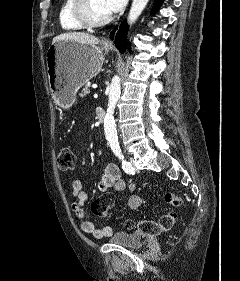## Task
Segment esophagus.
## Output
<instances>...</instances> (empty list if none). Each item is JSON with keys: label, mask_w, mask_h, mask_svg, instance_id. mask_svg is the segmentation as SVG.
<instances>
[{"label": "esophagus", "mask_w": 240, "mask_h": 281, "mask_svg": "<svg viewBox=\"0 0 240 281\" xmlns=\"http://www.w3.org/2000/svg\"><path fill=\"white\" fill-rule=\"evenodd\" d=\"M103 44L106 46H112V41L110 39H106Z\"/></svg>", "instance_id": "34e87169"}]
</instances>
